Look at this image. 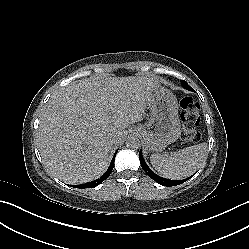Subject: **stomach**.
Wrapping results in <instances>:
<instances>
[{"label": "stomach", "instance_id": "obj_1", "mask_svg": "<svg viewBox=\"0 0 249 249\" xmlns=\"http://www.w3.org/2000/svg\"><path fill=\"white\" fill-rule=\"evenodd\" d=\"M146 101L151 118L138 131L148 149L161 151L175 142L180 134V121L175 109L176 99L169 90L156 85L147 93Z\"/></svg>", "mask_w": 249, "mask_h": 249}]
</instances>
